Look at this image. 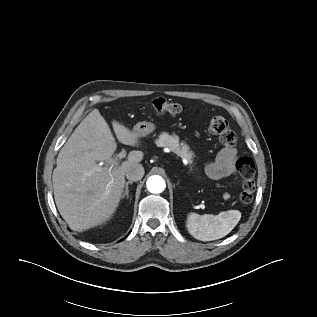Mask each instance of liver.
<instances>
[{"instance_id": "obj_1", "label": "liver", "mask_w": 317, "mask_h": 317, "mask_svg": "<svg viewBox=\"0 0 317 317\" xmlns=\"http://www.w3.org/2000/svg\"><path fill=\"white\" fill-rule=\"evenodd\" d=\"M119 142L136 146L139 135L113 120ZM117 143L97 109L90 112L71 134L57 157L52 181L59 213L73 231L82 232L111 218L119 206L127 170L144 154L131 151L126 161L113 158ZM106 161V166H97ZM101 170L98 171L97 169Z\"/></svg>"}]
</instances>
